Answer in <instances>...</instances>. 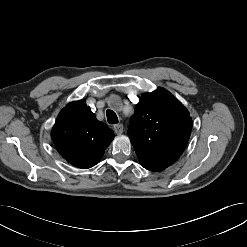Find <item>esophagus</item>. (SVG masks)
<instances>
[{"label": "esophagus", "mask_w": 247, "mask_h": 247, "mask_svg": "<svg viewBox=\"0 0 247 247\" xmlns=\"http://www.w3.org/2000/svg\"><path fill=\"white\" fill-rule=\"evenodd\" d=\"M114 131H115V133L117 134V135H120V134H122L123 133V125L122 124H116V125H114Z\"/></svg>", "instance_id": "esophagus-1"}]
</instances>
